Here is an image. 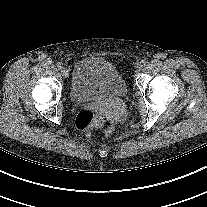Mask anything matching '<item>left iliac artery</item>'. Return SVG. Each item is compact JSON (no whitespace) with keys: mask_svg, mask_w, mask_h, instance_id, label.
I'll use <instances>...</instances> for the list:
<instances>
[{"mask_svg":"<svg viewBox=\"0 0 207 207\" xmlns=\"http://www.w3.org/2000/svg\"><path fill=\"white\" fill-rule=\"evenodd\" d=\"M141 63H142V66L144 67L147 62L145 60H142Z\"/></svg>","mask_w":207,"mask_h":207,"instance_id":"1","label":"left iliac artery"}]
</instances>
